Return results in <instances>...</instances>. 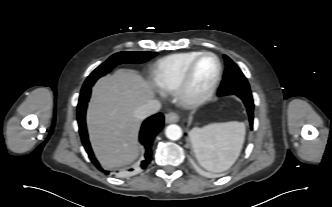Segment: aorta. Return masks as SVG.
<instances>
[{
  "label": "aorta",
  "mask_w": 332,
  "mask_h": 207,
  "mask_svg": "<svg viewBox=\"0 0 332 207\" xmlns=\"http://www.w3.org/2000/svg\"><path fill=\"white\" fill-rule=\"evenodd\" d=\"M165 134L168 139L175 141L182 137V129L176 124H171L167 126Z\"/></svg>",
  "instance_id": "762f6f07"
}]
</instances>
